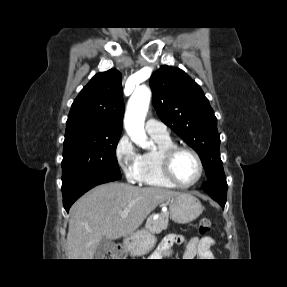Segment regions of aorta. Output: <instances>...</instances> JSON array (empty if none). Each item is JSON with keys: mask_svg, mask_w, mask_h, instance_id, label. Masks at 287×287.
<instances>
[{"mask_svg": "<svg viewBox=\"0 0 287 287\" xmlns=\"http://www.w3.org/2000/svg\"><path fill=\"white\" fill-rule=\"evenodd\" d=\"M151 100V91L147 87L137 88L130 97L124 116V127L130 139L139 147L149 149L144 129L145 117Z\"/></svg>", "mask_w": 287, "mask_h": 287, "instance_id": "obj_1", "label": "aorta"}]
</instances>
